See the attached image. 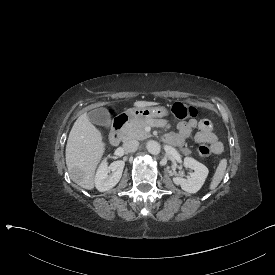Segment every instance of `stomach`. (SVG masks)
Returning a JSON list of instances; mask_svg holds the SVG:
<instances>
[{
  "mask_svg": "<svg viewBox=\"0 0 275 275\" xmlns=\"http://www.w3.org/2000/svg\"><path fill=\"white\" fill-rule=\"evenodd\" d=\"M126 114L131 120H146L167 116L168 111L163 106L135 107L126 110Z\"/></svg>",
  "mask_w": 275,
  "mask_h": 275,
  "instance_id": "1",
  "label": "stomach"
}]
</instances>
